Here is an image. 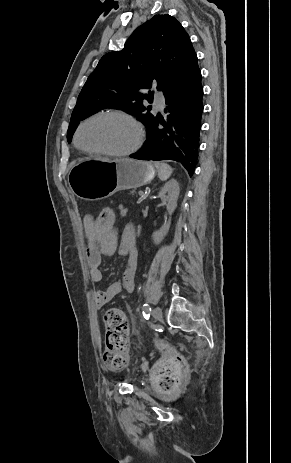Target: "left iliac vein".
Returning <instances> with one entry per match:
<instances>
[{
  "instance_id": "1",
  "label": "left iliac vein",
  "mask_w": 291,
  "mask_h": 463,
  "mask_svg": "<svg viewBox=\"0 0 291 463\" xmlns=\"http://www.w3.org/2000/svg\"><path fill=\"white\" fill-rule=\"evenodd\" d=\"M152 314L155 320L160 321L162 319L163 314H162V310L160 307L156 306L153 309Z\"/></svg>"
}]
</instances>
